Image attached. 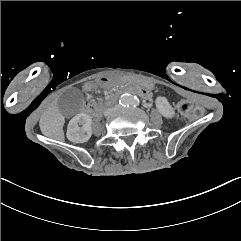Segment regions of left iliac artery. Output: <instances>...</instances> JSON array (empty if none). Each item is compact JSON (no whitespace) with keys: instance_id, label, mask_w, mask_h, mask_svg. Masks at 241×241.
Here are the masks:
<instances>
[{"instance_id":"1","label":"left iliac artery","mask_w":241,"mask_h":241,"mask_svg":"<svg viewBox=\"0 0 241 241\" xmlns=\"http://www.w3.org/2000/svg\"><path fill=\"white\" fill-rule=\"evenodd\" d=\"M139 104H140V101H139L138 98H133V99H132L131 105H132L133 107L139 106Z\"/></svg>"}]
</instances>
